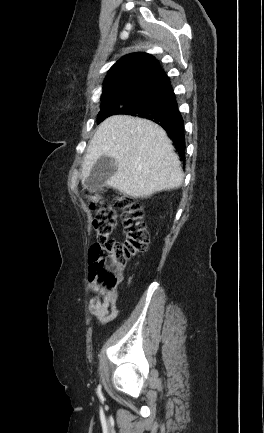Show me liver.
<instances>
[{"label":"liver","instance_id":"liver-1","mask_svg":"<svg viewBox=\"0 0 264 433\" xmlns=\"http://www.w3.org/2000/svg\"><path fill=\"white\" fill-rule=\"evenodd\" d=\"M103 155L117 164L116 173L106 184L133 198L178 188L184 179L171 140L164 129L147 119L114 115L104 120L87 147L82 180Z\"/></svg>","mask_w":264,"mask_h":433}]
</instances>
